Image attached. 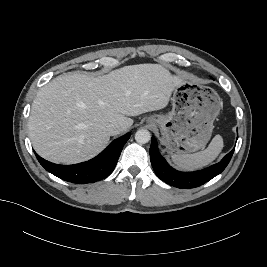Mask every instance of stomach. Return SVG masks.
<instances>
[{
	"label": "stomach",
	"mask_w": 267,
	"mask_h": 267,
	"mask_svg": "<svg viewBox=\"0 0 267 267\" xmlns=\"http://www.w3.org/2000/svg\"><path fill=\"white\" fill-rule=\"evenodd\" d=\"M172 110L167 115L148 117L161 130L162 143L170 154H186L203 149L211 138L213 122L222 101L211 87L192 79H181L173 90Z\"/></svg>",
	"instance_id": "stomach-1"
}]
</instances>
